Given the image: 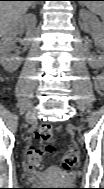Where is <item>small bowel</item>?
Wrapping results in <instances>:
<instances>
[{
    "mask_svg": "<svg viewBox=\"0 0 104 189\" xmlns=\"http://www.w3.org/2000/svg\"><path fill=\"white\" fill-rule=\"evenodd\" d=\"M95 87L101 90L104 86V76L102 74H98L95 76Z\"/></svg>",
    "mask_w": 104,
    "mask_h": 189,
    "instance_id": "c3829d8e",
    "label": "small bowel"
}]
</instances>
